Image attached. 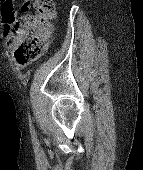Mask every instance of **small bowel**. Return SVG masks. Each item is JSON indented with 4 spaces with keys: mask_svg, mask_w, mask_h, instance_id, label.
<instances>
[{
    "mask_svg": "<svg viewBox=\"0 0 143 170\" xmlns=\"http://www.w3.org/2000/svg\"><path fill=\"white\" fill-rule=\"evenodd\" d=\"M30 5H31L30 0H25L21 5V9L23 11H28L30 9ZM13 7H14V3H13ZM14 10L16 9L14 8ZM22 31H23L22 28H19L18 30L14 31L13 26L10 24H6L4 26V33L8 39V46L10 49L17 48L22 36ZM17 66L19 69H23L26 67V64L18 63Z\"/></svg>",
    "mask_w": 143,
    "mask_h": 170,
    "instance_id": "c3829d8e",
    "label": "small bowel"
}]
</instances>
